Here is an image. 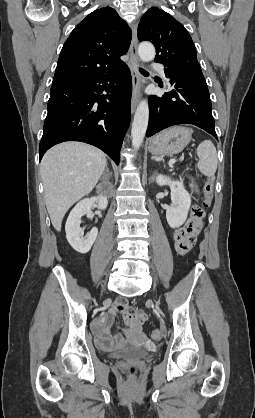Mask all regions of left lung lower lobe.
Wrapping results in <instances>:
<instances>
[{"label": "left lung lower lobe", "instance_id": "1", "mask_svg": "<svg viewBox=\"0 0 255 418\" xmlns=\"http://www.w3.org/2000/svg\"><path fill=\"white\" fill-rule=\"evenodd\" d=\"M173 90L149 98L146 136L176 125H196L217 139L208 87L199 63L165 68Z\"/></svg>", "mask_w": 255, "mask_h": 418}]
</instances>
